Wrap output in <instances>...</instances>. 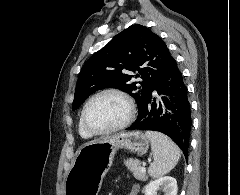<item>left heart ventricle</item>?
<instances>
[{"mask_svg": "<svg viewBox=\"0 0 240 195\" xmlns=\"http://www.w3.org/2000/svg\"><path fill=\"white\" fill-rule=\"evenodd\" d=\"M128 113L124 99L106 95L95 100L88 108L86 123L95 130H103L121 123Z\"/></svg>", "mask_w": 240, "mask_h": 195, "instance_id": "left-heart-ventricle-1", "label": "left heart ventricle"}]
</instances>
